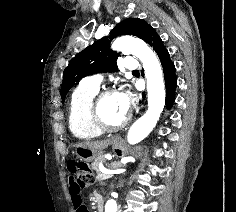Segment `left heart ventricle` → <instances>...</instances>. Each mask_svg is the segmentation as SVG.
Listing matches in <instances>:
<instances>
[{
	"label": "left heart ventricle",
	"instance_id": "1",
	"mask_svg": "<svg viewBox=\"0 0 236 212\" xmlns=\"http://www.w3.org/2000/svg\"><path fill=\"white\" fill-rule=\"evenodd\" d=\"M100 109L103 117L110 124H117L125 118L119 110L115 93L102 100Z\"/></svg>",
	"mask_w": 236,
	"mask_h": 212
}]
</instances>
